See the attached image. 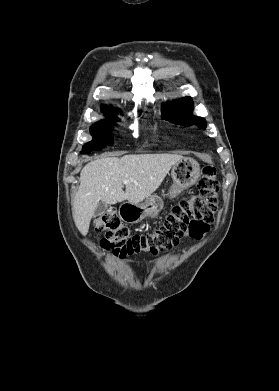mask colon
Returning <instances> with one entry per match:
<instances>
[{
	"label": "colon",
	"mask_w": 279,
	"mask_h": 391,
	"mask_svg": "<svg viewBox=\"0 0 279 391\" xmlns=\"http://www.w3.org/2000/svg\"><path fill=\"white\" fill-rule=\"evenodd\" d=\"M218 193L216 169L206 164L198 181V194L174 205L157 230L133 234L113 208L95 218L94 230L105 234L101 246L114 256L126 258L142 253L157 254L178 245L186 232L195 239L202 238L218 210Z\"/></svg>",
	"instance_id": "obj_1"
}]
</instances>
